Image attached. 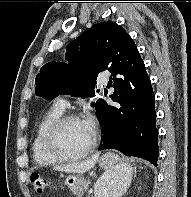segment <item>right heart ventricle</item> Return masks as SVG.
<instances>
[{"instance_id": "e07e8e85", "label": "right heart ventricle", "mask_w": 191, "mask_h": 197, "mask_svg": "<svg viewBox=\"0 0 191 197\" xmlns=\"http://www.w3.org/2000/svg\"><path fill=\"white\" fill-rule=\"evenodd\" d=\"M62 114L63 110L55 104L44 113L37 124L32 141V155L34 162L39 166H50L58 162V160L46 152L44 147V135L48 127Z\"/></svg>"}]
</instances>
